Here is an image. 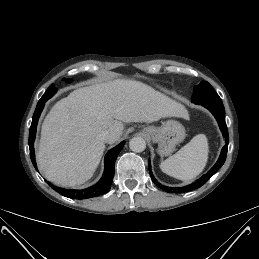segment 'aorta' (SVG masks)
Returning a JSON list of instances; mask_svg holds the SVG:
<instances>
[{
	"instance_id": "obj_1",
	"label": "aorta",
	"mask_w": 259,
	"mask_h": 259,
	"mask_svg": "<svg viewBox=\"0 0 259 259\" xmlns=\"http://www.w3.org/2000/svg\"><path fill=\"white\" fill-rule=\"evenodd\" d=\"M129 148L136 153L143 152L146 149V141L142 137H133L129 141Z\"/></svg>"
}]
</instances>
